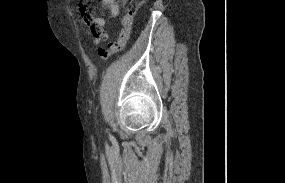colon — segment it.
Here are the masks:
<instances>
[{"label": "colon", "mask_w": 285, "mask_h": 183, "mask_svg": "<svg viewBox=\"0 0 285 183\" xmlns=\"http://www.w3.org/2000/svg\"><path fill=\"white\" fill-rule=\"evenodd\" d=\"M123 2L126 4V10L122 18V29L119 38L117 41L108 44L107 47L99 49V56L102 60H107L111 56L121 52L130 38V32L134 20V10L131 6L130 0H123Z\"/></svg>", "instance_id": "obj_1"}]
</instances>
